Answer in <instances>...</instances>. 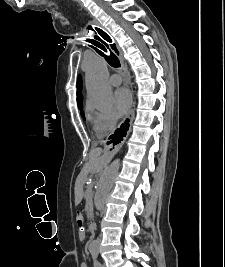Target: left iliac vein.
<instances>
[{"label": "left iliac vein", "mask_w": 225, "mask_h": 267, "mask_svg": "<svg viewBox=\"0 0 225 267\" xmlns=\"http://www.w3.org/2000/svg\"><path fill=\"white\" fill-rule=\"evenodd\" d=\"M102 267H106L104 264H102Z\"/></svg>", "instance_id": "1"}]
</instances>
